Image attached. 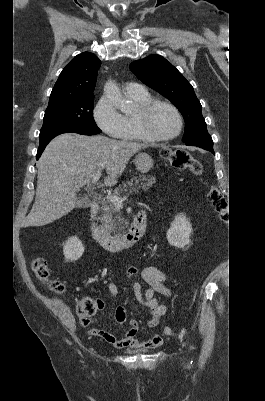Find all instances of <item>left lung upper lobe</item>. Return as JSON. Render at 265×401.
Instances as JSON below:
<instances>
[{"instance_id": "obj_1", "label": "left lung upper lobe", "mask_w": 265, "mask_h": 401, "mask_svg": "<svg viewBox=\"0 0 265 401\" xmlns=\"http://www.w3.org/2000/svg\"><path fill=\"white\" fill-rule=\"evenodd\" d=\"M130 70L179 109L186 124L183 142L208 134L192 85L164 57L154 54L136 60L130 64Z\"/></svg>"}]
</instances>
